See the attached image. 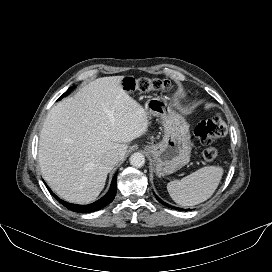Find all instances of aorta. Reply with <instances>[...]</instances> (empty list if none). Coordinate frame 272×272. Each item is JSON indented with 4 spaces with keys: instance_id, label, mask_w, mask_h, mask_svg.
<instances>
[{
    "instance_id": "obj_1",
    "label": "aorta",
    "mask_w": 272,
    "mask_h": 272,
    "mask_svg": "<svg viewBox=\"0 0 272 272\" xmlns=\"http://www.w3.org/2000/svg\"><path fill=\"white\" fill-rule=\"evenodd\" d=\"M130 164L134 167L140 168L145 164V157L142 153L135 152L130 157Z\"/></svg>"
}]
</instances>
